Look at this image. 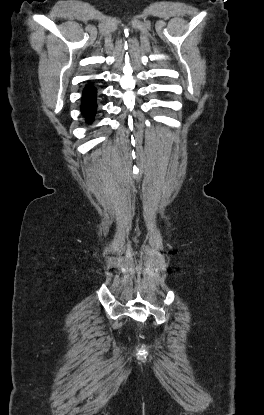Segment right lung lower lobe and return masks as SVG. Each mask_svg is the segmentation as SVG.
Returning a JSON list of instances; mask_svg holds the SVG:
<instances>
[{
    "instance_id": "obj_1",
    "label": "right lung lower lobe",
    "mask_w": 264,
    "mask_h": 415,
    "mask_svg": "<svg viewBox=\"0 0 264 415\" xmlns=\"http://www.w3.org/2000/svg\"><path fill=\"white\" fill-rule=\"evenodd\" d=\"M96 90L93 86H88L83 91L81 111L87 122H91L96 111Z\"/></svg>"
}]
</instances>
